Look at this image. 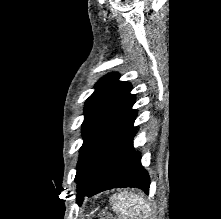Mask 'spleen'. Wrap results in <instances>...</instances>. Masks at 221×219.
<instances>
[{"instance_id": "1", "label": "spleen", "mask_w": 221, "mask_h": 219, "mask_svg": "<svg viewBox=\"0 0 221 219\" xmlns=\"http://www.w3.org/2000/svg\"><path fill=\"white\" fill-rule=\"evenodd\" d=\"M113 210L119 219H145L151 215L149 204L142 195L133 192H121L111 198Z\"/></svg>"}]
</instances>
